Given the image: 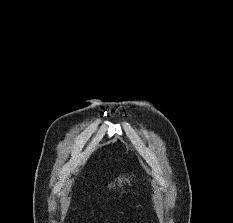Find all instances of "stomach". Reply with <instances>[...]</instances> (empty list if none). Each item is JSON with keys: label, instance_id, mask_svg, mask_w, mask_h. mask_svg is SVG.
<instances>
[{"label": "stomach", "instance_id": "0dacf381", "mask_svg": "<svg viewBox=\"0 0 233 223\" xmlns=\"http://www.w3.org/2000/svg\"><path fill=\"white\" fill-rule=\"evenodd\" d=\"M130 179L131 177H129L128 173H121L119 177H115L114 181H109L108 187L109 189H117V187H121L122 183H130Z\"/></svg>", "mask_w": 233, "mask_h": 223}]
</instances>
